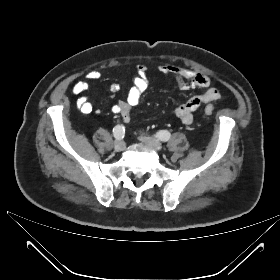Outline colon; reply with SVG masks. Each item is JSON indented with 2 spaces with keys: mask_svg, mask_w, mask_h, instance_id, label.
<instances>
[{
  "mask_svg": "<svg viewBox=\"0 0 280 280\" xmlns=\"http://www.w3.org/2000/svg\"><path fill=\"white\" fill-rule=\"evenodd\" d=\"M213 112H214L213 107H206V108H205V113H206L207 115H211Z\"/></svg>",
  "mask_w": 280,
  "mask_h": 280,
  "instance_id": "obj_1",
  "label": "colon"
}]
</instances>
